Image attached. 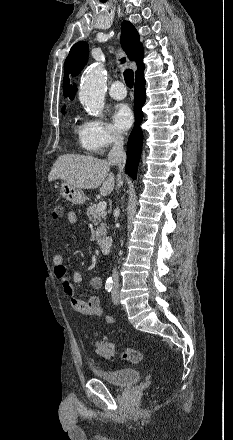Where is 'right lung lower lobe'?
<instances>
[{
  "label": "right lung lower lobe",
  "mask_w": 233,
  "mask_h": 440,
  "mask_svg": "<svg viewBox=\"0 0 233 440\" xmlns=\"http://www.w3.org/2000/svg\"><path fill=\"white\" fill-rule=\"evenodd\" d=\"M134 99L135 126L128 141L125 171L130 177L136 179L137 166L140 160L143 142V134L140 128L143 119L142 106L146 100L145 79L143 74L136 77Z\"/></svg>",
  "instance_id": "98d812e1"
}]
</instances>
